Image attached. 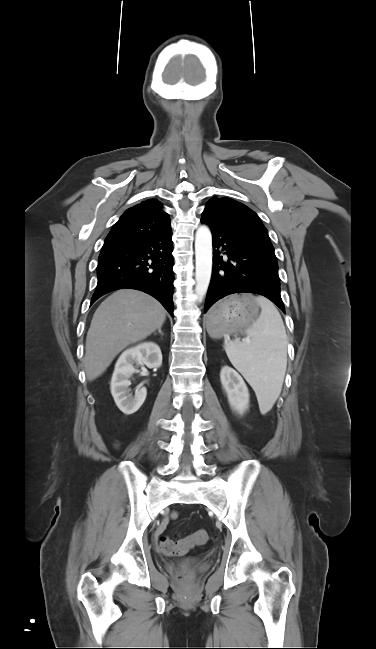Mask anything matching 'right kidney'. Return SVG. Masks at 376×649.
Returning a JSON list of instances; mask_svg holds the SVG:
<instances>
[{
    "mask_svg": "<svg viewBox=\"0 0 376 649\" xmlns=\"http://www.w3.org/2000/svg\"><path fill=\"white\" fill-rule=\"evenodd\" d=\"M134 364H144L148 368H159L162 364V353L154 342H143L125 350L117 360L111 379V394L117 407L127 415L135 413L143 404L147 390L138 386L135 395L128 394L130 377L136 371Z\"/></svg>",
    "mask_w": 376,
    "mask_h": 649,
    "instance_id": "obj_1",
    "label": "right kidney"
}]
</instances>
